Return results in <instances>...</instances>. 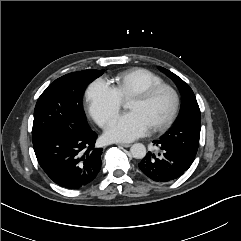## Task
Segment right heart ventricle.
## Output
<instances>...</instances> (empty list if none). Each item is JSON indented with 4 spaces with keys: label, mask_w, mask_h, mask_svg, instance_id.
<instances>
[{
    "label": "right heart ventricle",
    "mask_w": 241,
    "mask_h": 241,
    "mask_svg": "<svg viewBox=\"0 0 241 241\" xmlns=\"http://www.w3.org/2000/svg\"><path fill=\"white\" fill-rule=\"evenodd\" d=\"M114 87L122 100H128L136 93L156 84L163 79L144 68H133L119 73L114 79Z\"/></svg>",
    "instance_id": "1"
}]
</instances>
